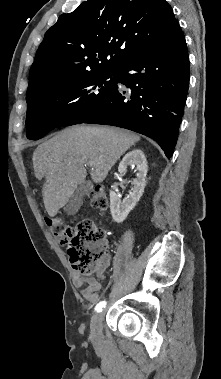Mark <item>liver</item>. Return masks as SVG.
Listing matches in <instances>:
<instances>
[{"instance_id":"1","label":"liver","mask_w":221,"mask_h":379,"mask_svg":"<svg viewBox=\"0 0 221 379\" xmlns=\"http://www.w3.org/2000/svg\"><path fill=\"white\" fill-rule=\"evenodd\" d=\"M140 137L113 127L66 128L40 144L33 153L38 180L45 178L42 196L45 209L54 217L83 183L90 167L91 179L102 182L117 160Z\"/></svg>"}]
</instances>
